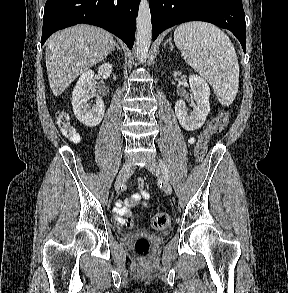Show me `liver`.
Listing matches in <instances>:
<instances>
[{"label": "liver", "instance_id": "liver-1", "mask_svg": "<svg viewBox=\"0 0 288 293\" xmlns=\"http://www.w3.org/2000/svg\"><path fill=\"white\" fill-rule=\"evenodd\" d=\"M115 41L107 31L79 24L54 33L46 41L50 88L60 95L80 74L104 60Z\"/></svg>", "mask_w": 288, "mask_h": 293}]
</instances>
